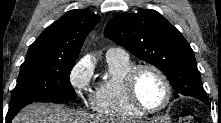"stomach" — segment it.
<instances>
[{
    "label": "stomach",
    "instance_id": "stomach-1",
    "mask_svg": "<svg viewBox=\"0 0 221 123\" xmlns=\"http://www.w3.org/2000/svg\"><path fill=\"white\" fill-rule=\"evenodd\" d=\"M159 120L158 119H154V120H151L149 123H158Z\"/></svg>",
    "mask_w": 221,
    "mask_h": 123
}]
</instances>
